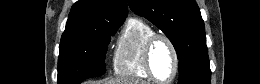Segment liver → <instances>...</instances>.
Masks as SVG:
<instances>
[{"label": "liver", "instance_id": "liver-1", "mask_svg": "<svg viewBox=\"0 0 260 84\" xmlns=\"http://www.w3.org/2000/svg\"><path fill=\"white\" fill-rule=\"evenodd\" d=\"M132 82H135V84H147L144 81L139 83V81H131L128 79H114V80L106 81L104 84H132ZM98 84H100V83H98Z\"/></svg>", "mask_w": 260, "mask_h": 84}]
</instances>
